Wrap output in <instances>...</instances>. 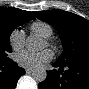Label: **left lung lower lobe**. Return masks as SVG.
I'll return each mask as SVG.
<instances>
[{
	"label": "left lung lower lobe",
	"mask_w": 89,
	"mask_h": 89,
	"mask_svg": "<svg viewBox=\"0 0 89 89\" xmlns=\"http://www.w3.org/2000/svg\"><path fill=\"white\" fill-rule=\"evenodd\" d=\"M58 67L47 71L46 79L39 89H89V61H77L71 64H52Z\"/></svg>",
	"instance_id": "obj_1"
}]
</instances>
